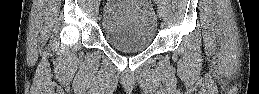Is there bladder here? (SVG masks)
I'll use <instances>...</instances> for the list:
<instances>
[{
    "label": "bladder",
    "instance_id": "31cf9c89",
    "mask_svg": "<svg viewBox=\"0 0 259 94\" xmlns=\"http://www.w3.org/2000/svg\"><path fill=\"white\" fill-rule=\"evenodd\" d=\"M100 27L104 39L113 48L137 52L153 43L158 22L149 0H108Z\"/></svg>",
    "mask_w": 259,
    "mask_h": 94
}]
</instances>
